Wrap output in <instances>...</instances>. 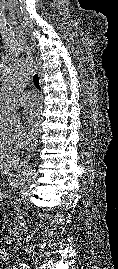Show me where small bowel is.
<instances>
[{
	"label": "small bowel",
	"instance_id": "1",
	"mask_svg": "<svg viewBox=\"0 0 118 269\" xmlns=\"http://www.w3.org/2000/svg\"><path fill=\"white\" fill-rule=\"evenodd\" d=\"M0 269H4V268L0 266ZM5 269H9V268H5Z\"/></svg>",
	"mask_w": 118,
	"mask_h": 269
}]
</instances>
